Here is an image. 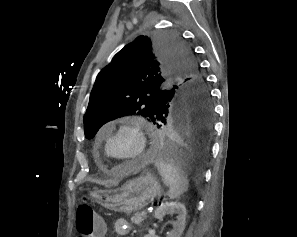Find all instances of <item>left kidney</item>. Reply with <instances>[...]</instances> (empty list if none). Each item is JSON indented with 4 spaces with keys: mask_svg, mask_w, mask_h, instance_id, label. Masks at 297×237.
Here are the masks:
<instances>
[{
    "mask_svg": "<svg viewBox=\"0 0 297 237\" xmlns=\"http://www.w3.org/2000/svg\"><path fill=\"white\" fill-rule=\"evenodd\" d=\"M173 213L177 214L176 221L173 224V230L168 233L167 237H181L185 229L187 214L184 204L180 202H165L155 211V218L161 219L166 214ZM144 237H153V235L146 234Z\"/></svg>",
    "mask_w": 297,
    "mask_h": 237,
    "instance_id": "5707ae66",
    "label": "left kidney"
}]
</instances>
